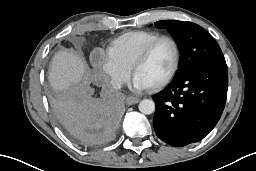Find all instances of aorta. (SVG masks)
<instances>
[{"label": "aorta", "instance_id": "762f6f07", "mask_svg": "<svg viewBox=\"0 0 256 171\" xmlns=\"http://www.w3.org/2000/svg\"><path fill=\"white\" fill-rule=\"evenodd\" d=\"M138 108L141 113L149 115L155 111V103L151 99H144L140 101Z\"/></svg>", "mask_w": 256, "mask_h": 171}]
</instances>
